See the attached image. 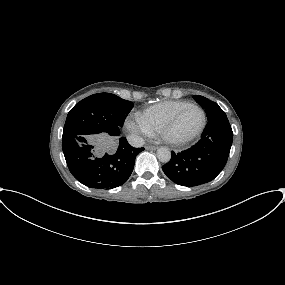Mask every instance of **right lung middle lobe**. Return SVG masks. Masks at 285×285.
<instances>
[{
  "label": "right lung middle lobe",
  "mask_w": 285,
  "mask_h": 285,
  "mask_svg": "<svg viewBox=\"0 0 285 285\" xmlns=\"http://www.w3.org/2000/svg\"><path fill=\"white\" fill-rule=\"evenodd\" d=\"M133 106L131 101L111 93L88 96L68 113L62 139H74L77 136H118Z\"/></svg>",
  "instance_id": "right-lung-middle-lobe-1"
}]
</instances>
